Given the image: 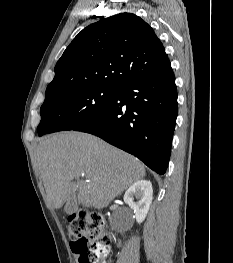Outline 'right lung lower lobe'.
I'll use <instances>...</instances> for the list:
<instances>
[{"instance_id":"obj_1","label":"right lung lower lobe","mask_w":233,"mask_h":263,"mask_svg":"<svg viewBox=\"0 0 233 263\" xmlns=\"http://www.w3.org/2000/svg\"><path fill=\"white\" fill-rule=\"evenodd\" d=\"M175 76L162 74L117 88L109 106L72 130L96 135L164 174L178 111Z\"/></svg>"}]
</instances>
